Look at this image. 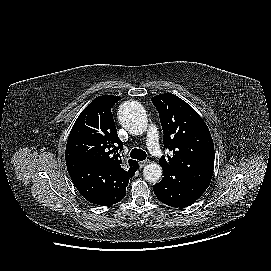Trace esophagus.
<instances>
[{
	"instance_id": "1",
	"label": "esophagus",
	"mask_w": 271,
	"mask_h": 271,
	"mask_svg": "<svg viewBox=\"0 0 271 271\" xmlns=\"http://www.w3.org/2000/svg\"><path fill=\"white\" fill-rule=\"evenodd\" d=\"M149 163V160H144L139 163L140 168L145 167Z\"/></svg>"
}]
</instances>
